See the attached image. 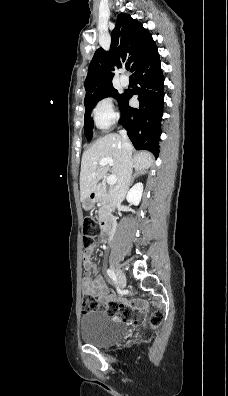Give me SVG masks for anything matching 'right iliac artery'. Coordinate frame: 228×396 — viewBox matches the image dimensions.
I'll return each mask as SVG.
<instances>
[{"instance_id": "obj_1", "label": "right iliac artery", "mask_w": 228, "mask_h": 396, "mask_svg": "<svg viewBox=\"0 0 228 396\" xmlns=\"http://www.w3.org/2000/svg\"><path fill=\"white\" fill-rule=\"evenodd\" d=\"M107 274L113 280V282L117 284V276L115 275V273L112 270L107 269Z\"/></svg>"}]
</instances>
